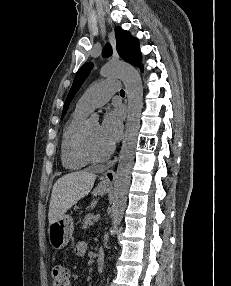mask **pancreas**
Masks as SVG:
<instances>
[{
    "label": "pancreas",
    "mask_w": 231,
    "mask_h": 286,
    "mask_svg": "<svg viewBox=\"0 0 231 286\" xmlns=\"http://www.w3.org/2000/svg\"><path fill=\"white\" fill-rule=\"evenodd\" d=\"M93 219L94 215L93 214H88L84 217V220L82 222V228L84 230L90 228L93 225Z\"/></svg>",
    "instance_id": "obj_1"
}]
</instances>
